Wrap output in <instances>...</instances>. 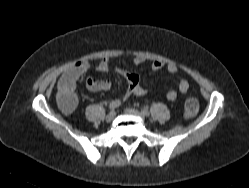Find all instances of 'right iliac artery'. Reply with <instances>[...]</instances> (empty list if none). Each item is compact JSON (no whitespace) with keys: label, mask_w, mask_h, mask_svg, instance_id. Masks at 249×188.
I'll return each mask as SVG.
<instances>
[{"label":"right iliac artery","mask_w":249,"mask_h":188,"mask_svg":"<svg viewBox=\"0 0 249 188\" xmlns=\"http://www.w3.org/2000/svg\"><path fill=\"white\" fill-rule=\"evenodd\" d=\"M121 105V102L119 100H114L109 104V109L114 110L118 108Z\"/></svg>","instance_id":"right-iliac-artery-1"}]
</instances>
